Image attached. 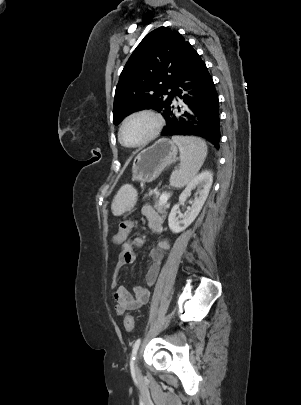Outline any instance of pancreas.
<instances>
[{"mask_svg": "<svg viewBox=\"0 0 301 405\" xmlns=\"http://www.w3.org/2000/svg\"><path fill=\"white\" fill-rule=\"evenodd\" d=\"M155 208L158 212H160L162 214L166 213V209H167L166 202H162L160 200L156 201Z\"/></svg>", "mask_w": 301, "mask_h": 405, "instance_id": "obj_1", "label": "pancreas"}]
</instances>
